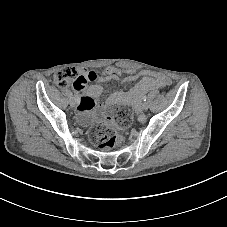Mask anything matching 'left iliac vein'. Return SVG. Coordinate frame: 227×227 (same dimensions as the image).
<instances>
[{"label":"left iliac vein","instance_id":"4c4485c4","mask_svg":"<svg viewBox=\"0 0 227 227\" xmlns=\"http://www.w3.org/2000/svg\"><path fill=\"white\" fill-rule=\"evenodd\" d=\"M148 107H149V105H148L147 102H144V103L142 104V109H143L144 111H146V110L148 109Z\"/></svg>","mask_w":227,"mask_h":227}]
</instances>
